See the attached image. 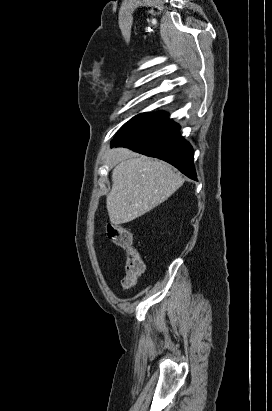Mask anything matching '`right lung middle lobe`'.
Wrapping results in <instances>:
<instances>
[{
  "label": "right lung middle lobe",
  "instance_id": "dd1d6c3e",
  "mask_svg": "<svg viewBox=\"0 0 272 411\" xmlns=\"http://www.w3.org/2000/svg\"><path fill=\"white\" fill-rule=\"evenodd\" d=\"M168 117L165 112L141 113L125 123L118 131L115 139H122L144 130Z\"/></svg>",
  "mask_w": 272,
  "mask_h": 411
}]
</instances>
